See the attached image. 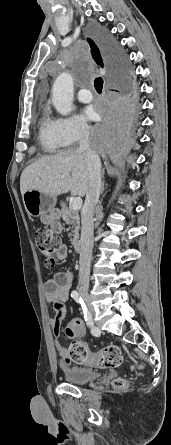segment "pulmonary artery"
I'll use <instances>...</instances> for the list:
<instances>
[{"mask_svg": "<svg viewBox=\"0 0 171 445\" xmlns=\"http://www.w3.org/2000/svg\"><path fill=\"white\" fill-rule=\"evenodd\" d=\"M78 100L82 103H89L91 102L93 96L88 89H81L79 90L77 94Z\"/></svg>", "mask_w": 171, "mask_h": 445, "instance_id": "1", "label": "pulmonary artery"}]
</instances>
